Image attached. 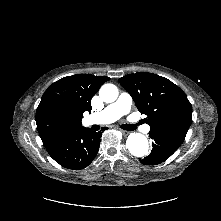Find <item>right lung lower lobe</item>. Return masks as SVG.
<instances>
[{
	"instance_id": "98d812e1",
	"label": "right lung lower lobe",
	"mask_w": 221,
	"mask_h": 221,
	"mask_svg": "<svg viewBox=\"0 0 221 221\" xmlns=\"http://www.w3.org/2000/svg\"><path fill=\"white\" fill-rule=\"evenodd\" d=\"M101 134V131L93 132L84 128L45 148L61 166L68 169H83L96 157Z\"/></svg>"
}]
</instances>
